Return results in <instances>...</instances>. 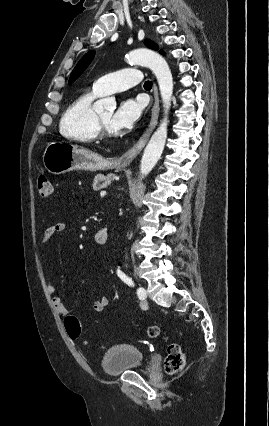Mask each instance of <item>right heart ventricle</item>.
<instances>
[{"label":"right heart ventricle","instance_id":"obj_1","mask_svg":"<svg viewBox=\"0 0 269 426\" xmlns=\"http://www.w3.org/2000/svg\"><path fill=\"white\" fill-rule=\"evenodd\" d=\"M99 95L93 90L79 95L65 110L60 121V132L79 142H91L99 136L93 102Z\"/></svg>","mask_w":269,"mask_h":426}]
</instances>
